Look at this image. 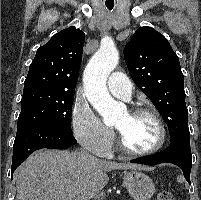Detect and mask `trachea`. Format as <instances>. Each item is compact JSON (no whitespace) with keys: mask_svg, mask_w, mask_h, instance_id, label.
<instances>
[{"mask_svg":"<svg viewBox=\"0 0 201 200\" xmlns=\"http://www.w3.org/2000/svg\"><path fill=\"white\" fill-rule=\"evenodd\" d=\"M107 9H108V10H112V9H113V6H108V5H107Z\"/></svg>","mask_w":201,"mask_h":200,"instance_id":"obj_1","label":"trachea"}]
</instances>
